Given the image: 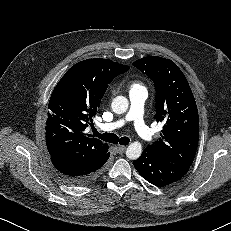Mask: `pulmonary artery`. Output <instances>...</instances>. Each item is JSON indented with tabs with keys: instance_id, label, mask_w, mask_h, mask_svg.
<instances>
[{
	"instance_id": "1",
	"label": "pulmonary artery",
	"mask_w": 231,
	"mask_h": 231,
	"mask_svg": "<svg viewBox=\"0 0 231 231\" xmlns=\"http://www.w3.org/2000/svg\"><path fill=\"white\" fill-rule=\"evenodd\" d=\"M148 93L146 89L133 90L129 93L130 107L127 114L114 122L106 123L101 129L107 132L123 127L127 122H133L138 135L146 140L154 137V131L149 128L144 121V103Z\"/></svg>"
}]
</instances>
